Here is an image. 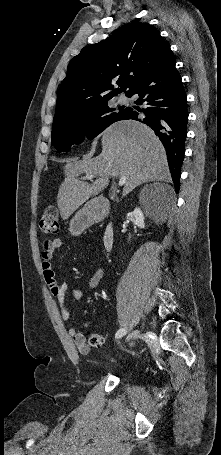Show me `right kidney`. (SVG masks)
<instances>
[{"mask_svg": "<svg viewBox=\"0 0 221 455\" xmlns=\"http://www.w3.org/2000/svg\"><path fill=\"white\" fill-rule=\"evenodd\" d=\"M127 219L132 221L137 227L143 229L145 227L144 215L140 208H135L134 211L127 214Z\"/></svg>", "mask_w": 221, "mask_h": 455, "instance_id": "ca27d5eb", "label": "right kidney"}]
</instances>
